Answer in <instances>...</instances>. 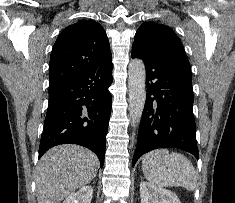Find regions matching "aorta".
Segmentation results:
<instances>
[{
  "mask_svg": "<svg viewBox=\"0 0 235 203\" xmlns=\"http://www.w3.org/2000/svg\"><path fill=\"white\" fill-rule=\"evenodd\" d=\"M146 71L142 60L133 59L128 67L129 113L133 125L141 121L145 101Z\"/></svg>",
  "mask_w": 235,
  "mask_h": 203,
  "instance_id": "obj_1",
  "label": "aorta"
}]
</instances>
